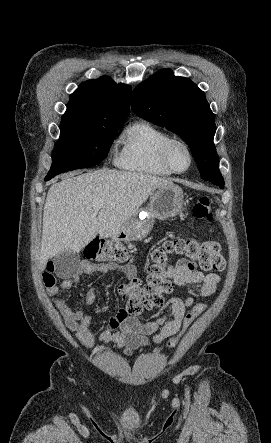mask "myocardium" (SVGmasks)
I'll return each mask as SVG.
<instances>
[{
    "mask_svg": "<svg viewBox=\"0 0 271 443\" xmlns=\"http://www.w3.org/2000/svg\"><path fill=\"white\" fill-rule=\"evenodd\" d=\"M174 143H181L182 145H184L186 147V149L188 150L189 154H190V158H191V163L190 166L185 169V170H178L174 167V165L171 162L170 159V148ZM161 158L163 160V162L165 163V165L173 172L176 174H183L188 172L190 169H192V167L194 166L195 163V154L194 151L191 147V145L184 140L183 138L180 137H176V136H170L162 145L161 147Z\"/></svg>",
    "mask_w": 271,
    "mask_h": 443,
    "instance_id": "f54148a6",
    "label": "myocardium"
}]
</instances>
